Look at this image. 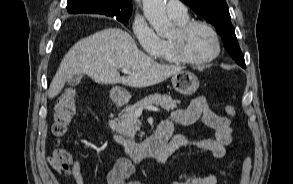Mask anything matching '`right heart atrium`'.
Segmentation results:
<instances>
[{"instance_id": "right-heart-atrium-1", "label": "right heart atrium", "mask_w": 293, "mask_h": 184, "mask_svg": "<svg viewBox=\"0 0 293 184\" xmlns=\"http://www.w3.org/2000/svg\"><path fill=\"white\" fill-rule=\"evenodd\" d=\"M132 32L140 47L150 56L156 57L161 48V38L155 33L143 16H136L132 22Z\"/></svg>"}]
</instances>
